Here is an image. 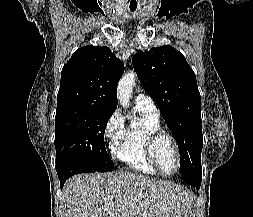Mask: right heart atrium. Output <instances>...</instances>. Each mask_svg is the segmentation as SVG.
<instances>
[{
	"label": "right heart atrium",
	"mask_w": 253,
	"mask_h": 217,
	"mask_svg": "<svg viewBox=\"0 0 253 217\" xmlns=\"http://www.w3.org/2000/svg\"><path fill=\"white\" fill-rule=\"evenodd\" d=\"M125 131L124 119L122 114L116 110L107 119L104 126V138L110 147L114 148Z\"/></svg>",
	"instance_id": "obj_1"
}]
</instances>
